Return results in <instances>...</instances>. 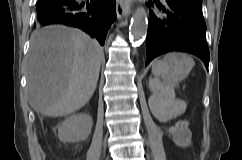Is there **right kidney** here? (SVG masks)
I'll return each instance as SVG.
<instances>
[{
    "label": "right kidney",
    "instance_id": "obj_1",
    "mask_svg": "<svg viewBox=\"0 0 242 160\" xmlns=\"http://www.w3.org/2000/svg\"><path fill=\"white\" fill-rule=\"evenodd\" d=\"M92 118L85 113L74 114L58 126V138L62 142H79L88 138L92 129Z\"/></svg>",
    "mask_w": 242,
    "mask_h": 160
}]
</instances>
